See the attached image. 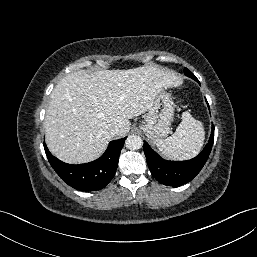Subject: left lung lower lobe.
Masks as SVG:
<instances>
[{
  "instance_id": "1",
  "label": "left lung lower lobe",
  "mask_w": 257,
  "mask_h": 257,
  "mask_svg": "<svg viewBox=\"0 0 257 257\" xmlns=\"http://www.w3.org/2000/svg\"><path fill=\"white\" fill-rule=\"evenodd\" d=\"M198 83V79L195 78ZM214 142V126L210 139L203 151L195 158L187 161H168L161 158L153 151L147 142L144 141V153L148 167L152 175L161 184L167 186H181L190 182L203 168L206 163Z\"/></svg>"
}]
</instances>
